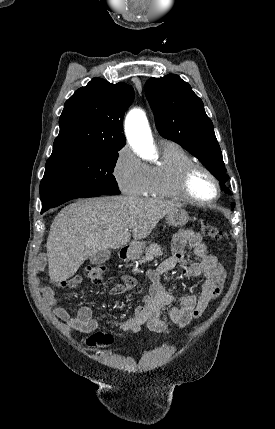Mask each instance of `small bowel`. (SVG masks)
I'll list each match as a JSON object with an SVG mask.
<instances>
[{"mask_svg":"<svg viewBox=\"0 0 275 429\" xmlns=\"http://www.w3.org/2000/svg\"><path fill=\"white\" fill-rule=\"evenodd\" d=\"M193 249L196 260H190L185 248ZM179 267L181 274L187 278H203L199 294H187L177 299L169 294L162 282L161 276ZM152 284L149 294L134 309L132 315L121 321L111 320L108 323L120 331L138 333L142 325L159 333L169 332V322L180 328L186 327L192 320L200 317L209 304L216 299L224 288L226 271L217 258L209 254L202 236L191 230H181L173 238L172 254L158 268L147 273ZM82 282L79 275L69 278L65 284L76 288ZM135 285L130 276H123L112 289L114 295L124 293ZM45 305L71 329L88 334L98 328V321L93 316L90 306H82L75 316H72L60 303L51 287L42 290ZM176 301L175 305H172Z\"/></svg>","mask_w":275,"mask_h":429,"instance_id":"small-bowel-1","label":"small bowel"}]
</instances>
